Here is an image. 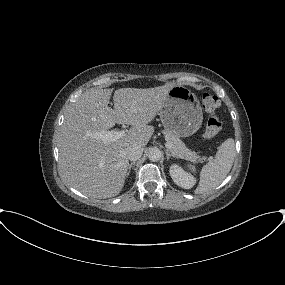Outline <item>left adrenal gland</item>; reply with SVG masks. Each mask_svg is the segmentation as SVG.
Here are the masks:
<instances>
[{
	"label": "left adrenal gland",
	"instance_id": "obj_1",
	"mask_svg": "<svg viewBox=\"0 0 285 285\" xmlns=\"http://www.w3.org/2000/svg\"><path fill=\"white\" fill-rule=\"evenodd\" d=\"M166 153V158L169 160L170 157H175L173 154H171L168 150L165 151Z\"/></svg>",
	"mask_w": 285,
	"mask_h": 285
}]
</instances>
